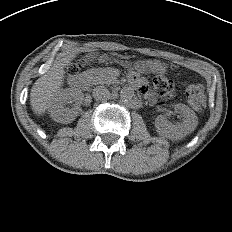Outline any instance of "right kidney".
<instances>
[{
  "instance_id": "obj_1",
  "label": "right kidney",
  "mask_w": 232,
  "mask_h": 232,
  "mask_svg": "<svg viewBox=\"0 0 232 232\" xmlns=\"http://www.w3.org/2000/svg\"><path fill=\"white\" fill-rule=\"evenodd\" d=\"M75 92L72 89H61L52 98L49 104L48 112L51 118L59 123H71L78 114V108H66V104L73 103Z\"/></svg>"
}]
</instances>
